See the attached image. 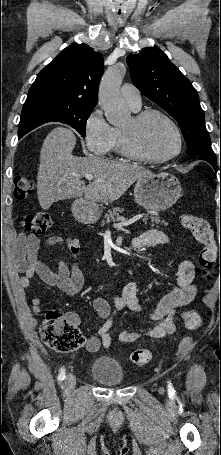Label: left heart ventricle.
I'll list each match as a JSON object with an SVG mask.
<instances>
[{"mask_svg": "<svg viewBox=\"0 0 221 455\" xmlns=\"http://www.w3.org/2000/svg\"><path fill=\"white\" fill-rule=\"evenodd\" d=\"M132 127V119L122 126L126 130ZM133 143L139 151L154 158L166 157L177 147L172 128L164 119L157 116L149 118L134 130Z\"/></svg>", "mask_w": 221, "mask_h": 455, "instance_id": "left-heart-ventricle-1", "label": "left heart ventricle"}]
</instances>
